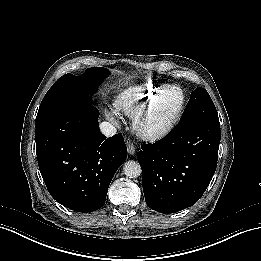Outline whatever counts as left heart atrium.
Segmentation results:
<instances>
[{
  "mask_svg": "<svg viewBox=\"0 0 261 261\" xmlns=\"http://www.w3.org/2000/svg\"><path fill=\"white\" fill-rule=\"evenodd\" d=\"M141 136H143L144 139L146 140H153L155 138V134L158 133L159 131H152L150 128H146L144 126H141L139 128Z\"/></svg>",
  "mask_w": 261,
  "mask_h": 261,
  "instance_id": "1",
  "label": "left heart atrium"
}]
</instances>
